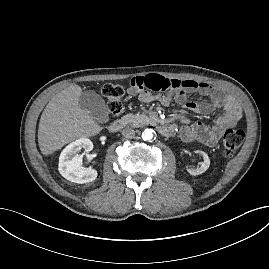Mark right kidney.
<instances>
[{
  "label": "right kidney",
  "instance_id": "1",
  "mask_svg": "<svg viewBox=\"0 0 269 269\" xmlns=\"http://www.w3.org/2000/svg\"><path fill=\"white\" fill-rule=\"evenodd\" d=\"M93 149V143L88 138H80L70 143L61 152L59 157V172L67 180L84 184L97 178V171L93 168L82 166L83 155ZM84 151L80 154L81 151Z\"/></svg>",
  "mask_w": 269,
  "mask_h": 269
}]
</instances>
